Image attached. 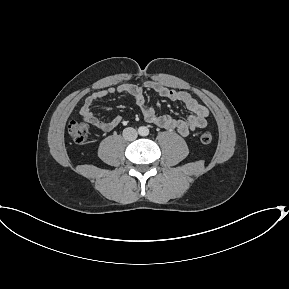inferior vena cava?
<instances>
[{"mask_svg":"<svg viewBox=\"0 0 289 289\" xmlns=\"http://www.w3.org/2000/svg\"><path fill=\"white\" fill-rule=\"evenodd\" d=\"M137 136V131L132 127H128L123 130V137L125 140L133 141L137 138Z\"/></svg>","mask_w":289,"mask_h":289,"instance_id":"602c4592","label":"inferior vena cava"}]
</instances>
